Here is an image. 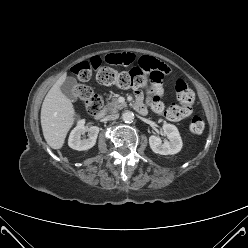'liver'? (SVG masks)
<instances>
[{
    "label": "liver",
    "instance_id": "6515ba94",
    "mask_svg": "<svg viewBox=\"0 0 248 248\" xmlns=\"http://www.w3.org/2000/svg\"><path fill=\"white\" fill-rule=\"evenodd\" d=\"M65 80L66 73L48 91L41 108L43 135L53 149H60L63 146L76 116L72 102L60 90Z\"/></svg>",
    "mask_w": 248,
    "mask_h": 248
}]
</instances>
